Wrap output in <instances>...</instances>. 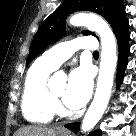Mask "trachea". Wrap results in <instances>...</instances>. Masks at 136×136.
I'll return each instance as SVG.
<instances>
[{
    "label": "trachea",
    "instance_id": "1",
    "mask_svg": "<svg viewBox=\"0 0 136 136\" xmlns=\"http://www.w3.org/2000/svg\"><path fill=\"white\" fill-rule=\"evenodd\" d=\"M93 55H94V56H98V55H99L98 51H95V52L93 53Z\"/></svg>",
    "mask_w": 136,
    "mask_h": 136
}]
</instances>
